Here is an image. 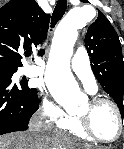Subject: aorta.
<instances>
[{"label":"aorta","mask_w":124,"mask_h":149,"mask_svg":"<svg viewBox=\"0 0 124 149\" xmlns=\"http://www.w3.org/2000/svg\"><path fill=\"white\" fill-rule=\"evenodd\" d=\"M87 23L82 9H72L59 23L52 47L53 59L49 63L45 80L52 96L59 100H68L77 104L81 96L79 87L73 77L69 61L78 30Z\"/></svg>","instance_id":"obj_1"}]
</instances>
